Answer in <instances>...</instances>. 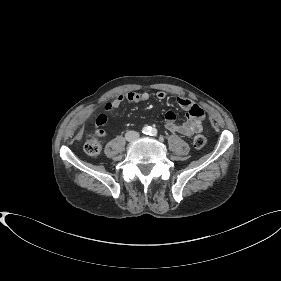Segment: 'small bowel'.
Wrapping results in <instances>:
<instances>
[{
	"label": "small bowel",
	"mask_w": 281,
	"mask_h": 281,
	"mask_svg": "<svg viewBox=\"0 0 281 281\" xmlns=\"http://www.w3.org/2000/svg\"><path fill=\"white\" fill-rule=\"evenodd\" d=\"M158 100H165L167 94L164 91H159L156 94ZM150 98L148 92H129L119 95L112 101L105 104L104 109L107 112H112L118 108L122 103L129 102H146ZM176 103L181 107L187 115V120L184 122H177L176 115L172 111H167L164 114L165 128L173 133H179L184 136H192L194 134L200 133L204 127V110L191 100L185 97H178Z\"/></svg>",
	"instance_id": "obj_1"
}]
</instances>
